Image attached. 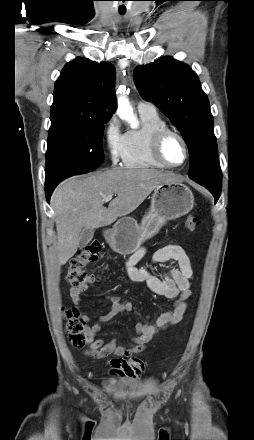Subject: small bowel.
<instances>
[{"mask_svg": "<svg viewBox=\"0 0 254 440\" xmlns=\"http://www.w3.org/2000/svg\"><path fill=\"white\" fill-rule=\"evenodd\" d=\"M146 254L144 247L139 248L125 263L128 278L135 282H144L155 295L173 299L171 309L162 313L153 323L137 322V336L134 338V346H118L115 339L97 338L103 330V323L110 321L116 315L131 313L133 304L122 300L117 296L108 297L109 311L101 316L97 322L86 327L87 348L85 354L95 358L115 356L111 360L114 370L123 376L135 379L140 377L144 370V364L140 359L134 358L129 361L122 357H130L141 353L146 344L160 331L177 324L183 318L187 308V300L191 297L190 282L193 278V269L189 257L184 249L176 244H169L155 251L153 263H174L177 268L167 272H157L152 266H139L138 263ZM87 291V285L72 286L69 291L74 307L79 310L83 296Z\"/></svg>", "mask_w": 254, "mask_h": 440, "instance_id": "obj_1", "label": "small bowel"}]
</instances>
